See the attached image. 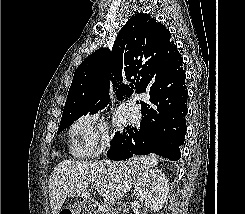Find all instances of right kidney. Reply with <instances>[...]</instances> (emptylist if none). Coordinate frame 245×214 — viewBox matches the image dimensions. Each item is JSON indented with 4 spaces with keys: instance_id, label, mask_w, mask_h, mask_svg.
<instances>
[{
    "instance_id": "obj_1",
    "label": "right kidney",
    "mask_w": 245,
    "mask_h": 214,
    "mask_svg": "<svg viewBox=\"0 0 245 214\" xmlns=\"http://www.w3.org/2000/svg\"><path fill=\"white\" fill-rule=\"evenodd\" d=\"M168 191V180L162 170L150 169L138 178L134 194L144 200L147 208L155 212L162 209Z\"/></svg>"
}]
</instances>
